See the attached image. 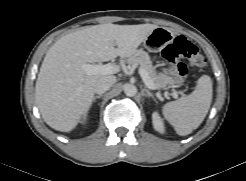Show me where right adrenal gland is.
I'll return each mask as SVG.
<instances>
[{"label": "right adrenal gland", "instance_id": "right-adrenal-gland-1", "mask_svg": "<svg viewBox=\"0 0 246 181\" xmlns=\"http://www.w3.org/2000/svg\"><path fill=\"white\" fill-rule=\"evenodd\" d=\"M102 96H103L102 94L97 95V96H94V98H93V102H95V101H96V99H99V98H101Z\"/></svg>", "mask_w": 246, "mask_h": 181}]
</instances>
